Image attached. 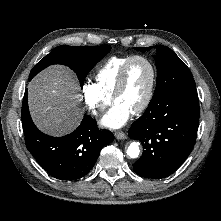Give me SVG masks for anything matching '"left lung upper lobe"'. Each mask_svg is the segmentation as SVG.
<instances>
[{
    "label": "left lung upper lobe",
    "mask_w": 221,
    "mask_h": 221,
    "mask_svg": "<svg viewBox=\"0 0 221 221\" xmlns=\"http://www.w3.org/2000/svg\"><path fill=\"white\" fill-rule=\"evenodd\" d=\"M150 48L135 47L138 51H147ZM154 58L157 86L150 103L164 99L179 90L196 87L191 71L170 48L158 46Z\"/></svg>",
    "instance_id": "obj_1"
}]
</instances>
